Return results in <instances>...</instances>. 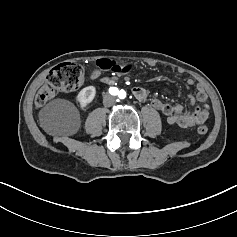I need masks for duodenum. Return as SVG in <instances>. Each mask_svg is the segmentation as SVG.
Instances as JSON below:
<instances>
[{
	"instance_id": "1",
	"label": "duodenum",
	"mask_w": 237,
	"mask_h": 237,
	"mask_svg": "<svg viewBox=\"0 0 237 237\" xmlns=\"http://www.w3.org/2000/svg\"><path fill=\"white\" fill-rule=\"evenodd\" d=\"M102 81H103V83L108 84V85L114 84V81L111 80V79H108V78H105V79H103Z\"/></svg>"
}]
</instances>
